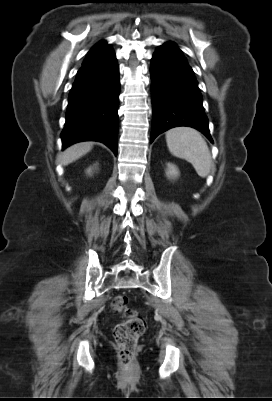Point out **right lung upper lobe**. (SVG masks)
Returning <instances> with one entry per match:
<instances>
[{"label":"right lung upper lobe","instance_id":"cb5924a9","mask_svg":"<svg viewBox=\"0 0 272 401\" xmlns=\"http://www.w3.org/2000/svg\"><path fill=\"white\" fill-rule=\"evenodd\" d=\"M106 45H107V44H106L105 41H101V42L97 43V44L89 51L88 54H91V53H93V52H95V51H97V50L103 48V47L106 46Z\"/></svg>","mask_w":272,"mask_h":401}]
</instances>
